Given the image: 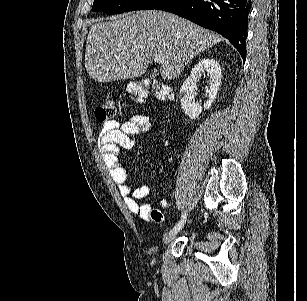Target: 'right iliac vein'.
<instances>
[{"mask_svg":"<svg viewBox=\"0 0 307 301\" xmlns=\"http://www.w3.org/2000/svg\"><path fill=\"white\" fill-rule=\"evenodd\" d=\"M175 236H176V233L170 231L169 233L165 234V236L163 237V243L169 244L171 241L175 239Z\"/></svg>","mask_w":307,"mask_h":301,"instance_id":"63e3f726","label":"right iliac vein"}]
</instances>
